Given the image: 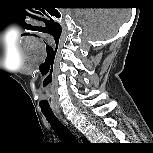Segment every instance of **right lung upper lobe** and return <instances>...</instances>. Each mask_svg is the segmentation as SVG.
Listing matches in <instances>:
<instances>
[{"instance_id":"cb5924a9","label":"right lung upper lobe","mask_w":153,"mask_h":153,"mask_svg":"<svg viewBox=\"0 0 153 153\" xmlns=\"http://www.w3.org/2000/svg\"><path fill=\"white\" fill-rule=\"evenodd\" d=\"M83 141H86V138L85 137H83V139H82Z\"/></svg>"}]
</instances>
